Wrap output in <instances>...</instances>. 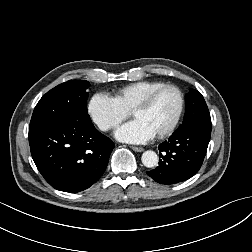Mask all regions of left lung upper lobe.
Returning <instances> with one entry per match:
<instances>
[{
	"mask_svg": "<svg viewBox=\"0 0 252 252\" xmlns=\"http://www.w3.org/2000/svg\"><path fill=\"white\" fill-rule=\"evenodd\" d=\"M186 111L182 125L177 129L184 128L191 124L208 123L211 124L210 113L206 102L199 91L190 89L185 97Z\"/></svg>",
	"mask_w": 252,
	"mask_h": 252,
	"instance_id": "5c2ea615",
	"label": "left lung upper lobe"
}]
</instances>
